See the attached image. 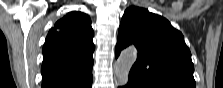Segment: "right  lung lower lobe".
<instances>
[{
  "instance_id": "98d812e1",
  "label": "right lung lower lobe",
  "mask_w": 223,
  "mask_h": 88,
  "mask_svg": "<svg viewBox=\"0 0 223 88\" xmlns=\"http://www.w3.org/2000/svg\"><path fill=\"white\" fill-rule=\"evenodd\" d=\"M92 81L84 86V88H91Z\"/></svg>"
}]
</instances>
